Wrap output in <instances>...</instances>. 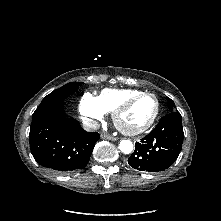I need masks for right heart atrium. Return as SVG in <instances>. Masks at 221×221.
<instances>
[{"mask_svg": "<svg viewBox=\"0 0 221 221\" xmlns=\"http://www.w3.org/2000/svg\"><path fill=\"white\" fill-rule=\"evenodd\" d=\"M79 113L81 119L90 127L96 126L105 115L97 98L90 93H85L82 96L79 104Z\"/></svg>", "mask_w": 221, "mask_h": 221, "instance_id": "obj_1", "label": "right heart atrium"}]
</instances>
